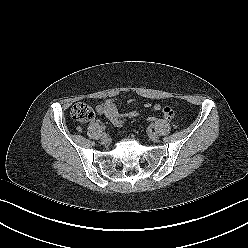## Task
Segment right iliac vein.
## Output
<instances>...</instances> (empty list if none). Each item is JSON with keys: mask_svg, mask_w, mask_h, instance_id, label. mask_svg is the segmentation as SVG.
Listing matches in <instances>:
<instances>
[{"mask_svg": "<svg viewBox=\"0 0 248 248\" xmlns=\"http://www.w3.org/2000/svg\"><path fill=\"white\" fill-rule=\"evenodd\" d=\"M101 141L104 142V143H107L110 141V138L108 136L107 133H103L102 136H101Z\"/></svg>", "mask_w": 248, "mask_h": 248, "instance_id": "right-iliac-vein-1", "label": "right iliac vein"}]
</instances>
